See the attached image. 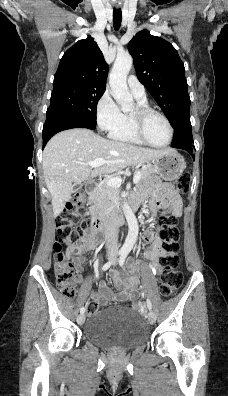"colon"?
Instances as JSON below:
<instances>
[{
  "label": "colon",
  "instance_id": "1",
  "mask_svg": "<svg viewBox=\"0 0 228 396\" xmlns=\"http://www.w3.org/2000/svg\"><path fill=\"white\" fill-rule=\"evenodd\" d=\"M190 174L183 173L175 182L174 188L181 194H187L190 187ZM86 203L84 194H78L70 201L58 221V236L60 240L54 243V271L56 284L67 298H72L76 292V275L74 266L64 251L65 247L75 245L87 222L80 220L79 208ZM176 218L167 209H161L158 217L159 237L162 241L163 254L160 264L164 269L160 279V292L164 297L176 294L182 284L179 270L178 244L179 232L175 226ZM99 303L91 301L87 305V313L94 315L99 312Z\"/></svg>",
  "mask_w": 228,
  "mask_h": 396
}]
</instances>
